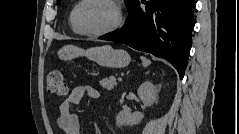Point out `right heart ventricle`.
Instances as JSON below:
<instances>
[{
  "instance_id": "e07e8e85",
  "label": "right heart ventricle",
  "mask_w": 239,
  "mask_h": 134,
  "mask_svg": "<svg viewBox=\"0 0 239 134\" xmlns=\"http://www.w3.org/2000/svg\"><path fill=\"white\" fill-rule=\"evenodd\" d=\"M77 5H78V3H76V4L73 6V8H72V10H71V12H70L69 21H70V26H71L72 31H73L74 33H76V34H79V32L77 31V29L75 28L74 23H73L74 11H75Z\"/></svg>"
}]
</instances>
